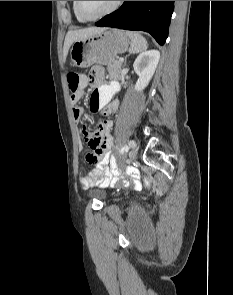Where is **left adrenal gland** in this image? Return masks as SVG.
<instances>
[{
    "label": "left adrenal gland",
    "mask_w": 233,
    "mask_h": 295,
    "mask_svg": "<svg viewBox=\"0 0 233 295\" xmlns=\"http://www.w3.org/2000/svg\"><path fill=\"white\" fill-rule=\"evenodd\" d=\"M127 57H128V55L125 57V59H124V64H123V66H125L126 65V60H127Z\"/></svg>",
    "instance_id": "1"
}]
</instances>
